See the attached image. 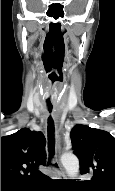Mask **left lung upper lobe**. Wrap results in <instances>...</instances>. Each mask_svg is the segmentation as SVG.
Here are the masks:
<instances>
[{"label": "left lung upper lobe", "mask_w": 115, "mask_h": 191, "mask_svg": "<svg viewBox=\"0 0 115 191\" xmlns=\"http://www.w3.org/2000/svg\"><path fill=\"white\" fill-rule=\"evenodd\" d=\"M72 149L80 161L83 184L97 191H115V138L108 132L78 124L70 133Z\"/></svg>", "instance_id": "left-lung-upper-lobe-1"}]
</instances>
